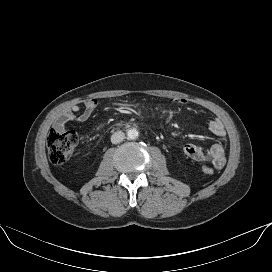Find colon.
<instances>
[{"instance_id":"obj_1","label":"colon","mask_w":272,"mask_h":272,"mask_svg":"<svg viewBox=\"0 0 272 272\" xmlns=\"http://www.w3.org/2000/svg\"><path fill=\"white\" fill-rule=\"evenodd\" d=\"M78 137L74 131H58L52 129L47 137V147L50 160L55 165L64 164L74 152ZM201 170L206 175H212V167L204 165Z\"/></svg>"}]
</instances>
